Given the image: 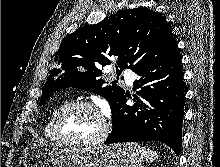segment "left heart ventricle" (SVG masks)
<instances>
[{"mask_svg":"<svg viewBox=\"0 0 220 167\" xmlns=\"http://www.w3.org/2000/svg\"><path fill=\"white\" fill-rule=\"evenodd\" d=\"M100 128L99 115L82 106L71 108L60 120L62 135L72 140L92 139L99 133Z\"/></svg>","mask_w":220,"mask_h":167,"instance_id":"obj_1","label":"left heart ventricle"}]
</instances>
